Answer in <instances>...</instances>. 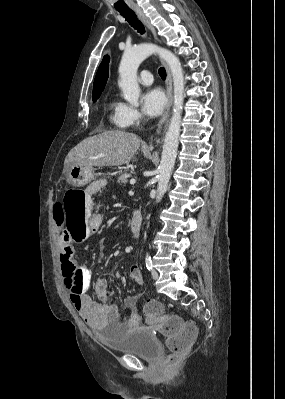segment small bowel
Listing matches in <instances>:
<instances>
[{
  "mask_svg": "<svg viewBox=\"0 0 285 399\" xmlns=\"http://www.w3.org/2000/svg\"><path fill=\"white\" fill-rule=\"evenodd\" d=\"M104 184L101 182L91 185L84 195L86 201L87 213L89 214V219L91 222L92 232H98L102 226L103 214L101 209L98 207L96 211H92L94 206L93 197L98 195ZM54 214L57 215L60 220V239L59 245L61 248L60 257L67 253L68 241L70 239V234L64 228L63 225V211L60 206L54 209ZM130 278L138 287L144 286V277L141 270L137 266H133L129 272ZM76 277L80 278L83 282V293L81 302L79 305L74 302V307L80 314V316L90 325V326H104L107 324L117 325L121 331H125L132 327H141V317L137 312H132L127 316H122L118 305L110 300L109 297V286L104 280H99L95 284V294L98 298V302L92 300L90 295L86 290V286L89 284L91 279V272L89 269L80 266L77 268ZM141 297L140 294L134 295L130 299L124 301V305L128 308H135L136 302ZM159 320H149V325L155 326Z\"/></svg>",
  "mask_w": 285,
  "mask_h": 399,
  "instance_id": "obj_1",
  "label": "small bowel"
}]
</instances>
